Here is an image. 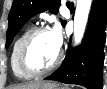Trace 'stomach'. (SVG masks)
Returning a JSON list of instances; mask_svg holds the SVG:
<instances>
[{
    "mask_svg": "<svg viewBox=\"0 0 107 89\" xmlns=\"http://www.w3.org/2000/svg\"><path fill=\"white\" fill-rule=\"evenodd\" d=\"M39 89H64V88L54 83H48L46 85H42Z\"/></svg>",
    "mask_w": 107,
    "mask_h": 89,
    "instance_id": "stomach-1",
    "label": "stomach"
}]
</instances>
